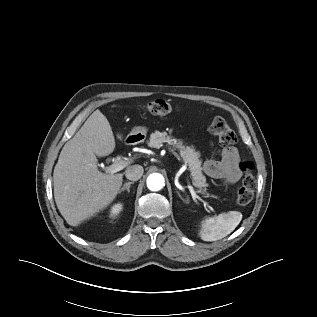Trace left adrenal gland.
I'll return each mask as SVG.
<instances>
[{"mask_svg":"<svg viewBox=\"0 0 317 317\" xmlns=\"http://www.w3.org/2000/svg\"><path fill=\"white\" fill-rule=\"evenodd\" d=\"M178 196L183 200V202L188 203V199L187 200L183 199L181 195L179 194V192H178Z\"/></svg>","mask_w":317,"mask_h":317,"instance_id":"a2214340","label":"left adrenal gland"}]
</instances>
